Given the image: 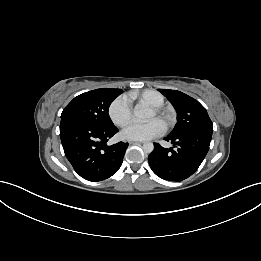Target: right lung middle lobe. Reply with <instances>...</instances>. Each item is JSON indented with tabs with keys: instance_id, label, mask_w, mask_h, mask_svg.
Returning <instances> with one entry per match:
<instances>
[{
	"instance_id": "right-lung-middle-lobe-1",
	"label": "right lung middle lobe",
	"mask_w": 261,
	"mask_h": 261,
	"mask_svg": "<svg viewBox=\"0 0 261 261\" xmlns=\"http://www.w3.org/2000/svg\"><path fill=\"white\" fill-rule=\"evenodd\" d=\"M120 89L101 88L75 97L63 110L61 119H71L99 127H111L108 109L112 101L122 93Z\"/></svg>"
}]
</instances>
